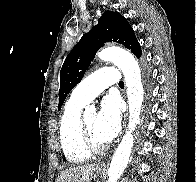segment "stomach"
<instances>
[{
	"mask_svg": "<svg viewBox=\"0 0 196 182\" xmlns=\"http://www.w3.org/2000/svg\"><path fill=\"white\" fill-rule=\"evenodd\" d=\"M95 171L98 175H102L104 173V169H102L101 167L97 166L95 168Z\"/></svg>",
	"mask_w": 196,
	"mask_h": 182,
	"instance_id": "1",
	"label": "stomach"
}]
</instances>
